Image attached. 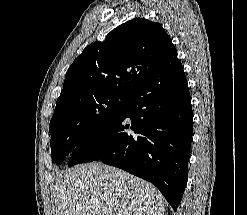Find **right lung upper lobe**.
I'll return each instance as SVG.
<instances>
[{
  "mask_svg": "<svg viewBox=\"0 0 247 215\" xmlns=\"http://www.w3.org/2000/svg\"><path fill=\"white\" fill-rule=\"evenodd\" d=\"M175 50L159 23L134 18L112 30L105 41L87 46L74 60L56 108L96 94L130 95L154 76Z\"/></svg>",
  "mask_w": 247,
  "mask_h": 215,
  "instance_id": "1",
  "label": "right lung upper lobe"
}]
</instances>
